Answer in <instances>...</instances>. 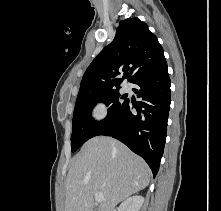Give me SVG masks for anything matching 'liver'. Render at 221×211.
<instances>
[{"label": "liver", "instance_id": "liver-1", "mask_svg": "<svg viewBox=\"0 0 221 211\" xmlns=\"http://www.w3.org/2000/svg\"><path fill=\"white\" fill-rule=\"evenodd\" d=\"M151 176L146 162L124 144L110 137H94L70 166L65 211H93L97 192L104 196L98 211H114L117 204L146 188Z\"/></svg>", "mask_w": 221, "mask_h": 211}]
</instances>
